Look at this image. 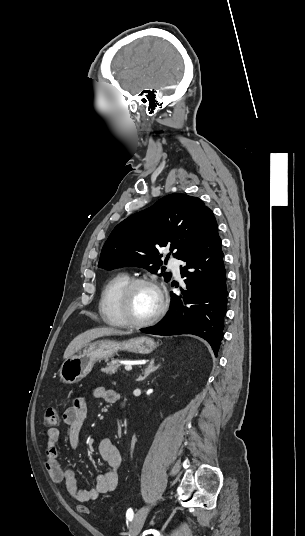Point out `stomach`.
I'll use <instances>...</instances> for the list:
<instances>
[{
    "label": "stomach",
    "mask_w": 305,
    "mask_h": 536,
    "mask_svg": "<svg viewBox=\"0 0 305 536\" xmlns=\"http://www.w3.org/2000/svg\"><path fill=\"white\" fill-rule=\"evenodd\" d=\"M157 344L152 338H133L126 342H112V340H98V342H88L86 346L80 348L73 356L63 362L59 376L64 384H76L91 372L94 364L98 360L113 358L114 354L125 350L134 354H150L155 350Z\"/></svg>",
    "instance_id": "obj_1"
}]
</instances>
